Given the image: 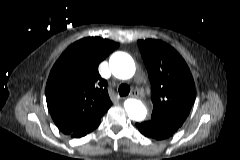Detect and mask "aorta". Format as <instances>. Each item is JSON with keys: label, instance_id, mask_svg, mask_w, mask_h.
Listing matches in <instances>:
<instances>
[{"label": "aorta", "instance_id": "obj_1", "mask_svg": "<svg viewBox=\"0 0 240 160\" xmlns=\"http://www.w3.org/2000/svg\"><path fill=\"white\" fill-rule=\"evenodd\" d=\"M112 74L119 79H130L135 73V63L130 55L124 52H115L109 60ZM125 111L130 119L142 121L146 118L147 109L136 99H127L124 103Z\"/></svg>", "mask_w": 240, "mask_h": 160}]
</instances>
